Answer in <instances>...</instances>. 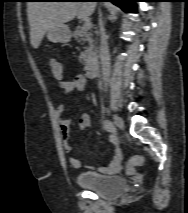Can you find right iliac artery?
<instances>
[{"instance_id":"82829eb1","label":"right iliac artery","mask_w":188,"mask_h":213,"mask_svg":"<svg viewBox=\"0 0 188 213\" xmlns=\"http://www.w3.org/2000/svg\"><path fill=\"white\" fill-rule=\"evenodd\" d=\"M103 126H104L105 130H107L111 133L116 132V127L110 120H104Z\"/></svg>"}]
</instances>
